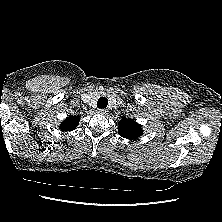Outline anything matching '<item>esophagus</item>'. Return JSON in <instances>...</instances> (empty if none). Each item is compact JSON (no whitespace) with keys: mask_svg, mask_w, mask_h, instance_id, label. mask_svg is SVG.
I'll use <instances>...</instances> for the list:
<instances>
[{"mask_svg":"<svg viewBox=\"0 0 222 222\" xmlns=\"http://www.w3.org/2000/svg\"><path fill=\"white\" fill-rule=\"evenodd\" d=\"M107 109H104V108H100L98 109V113L102 114V115H106L107 114Z\"/></svg>","mask_w":222,"mask_h":222,"instance_id":"34e87169","label":"esophagus"}]
</instances>
